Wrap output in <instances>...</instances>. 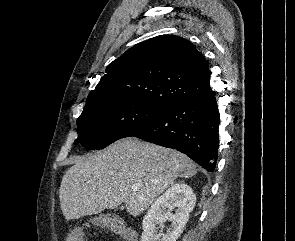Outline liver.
I'll list each match as a JSON object with an SVG mask.
<instances>
[{"mask_svg": "<svg viewBox=\"0 0 295 241\" xmlns=\"http://www.w3.org/2000/svg\"><path fill=\"white\" fill-rule=\"evenodd\" d=\"M196 173L185 154L135 138L122 139L94 155L76 158L62 178L60 206L67 220L98 214L125 203L137 216L174 184ZM138 184L133 191L131 186Z\"/></svg>", "mask_w": 295, "mask_h": 241, "instance_id": "1", "label": "liver"}]
</instances>
